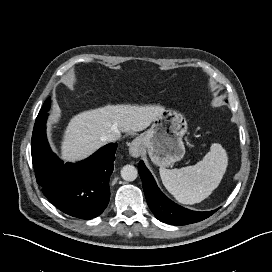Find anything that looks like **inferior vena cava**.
Segmentation results:
<instances>
[{
    "instance_id": "1",
    "label": "inferior vena cava",
    "mask_w": 272,
    "mask_h": 272,
    "mask_svg": "<svg viewBox=\"0 0 272 272\" xmlns=\"http://www.w3.org/2000/svg\"><path fill=\"white\" fill-rule=\"evenodd\" d=\"M120 137H121L120 131L114 130L113 132H111L108 135H106L104 137V140L108 141V142H115L118 139H120Z\"/></svg>"
}]
</instances>
